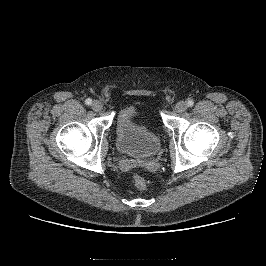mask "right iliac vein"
<instances>
[{
    "label": "right iliac vein",
    "instance_id": "right-iliac-vein-1",
    "mask_svg": "<svg viewBox=\"0 0 266 266\" xmlns=\"http://www.w3.org/2000/svg\"><path fill=\"white\" fill-rule=\"evenodd\" d=\"M92 109L94 111H100V110H102V104H101V102H99L97 100L93 101V103H92Z\"/></svg>",
    "mask_w": 266,
    "mask_h": 266
}]
</instances>
